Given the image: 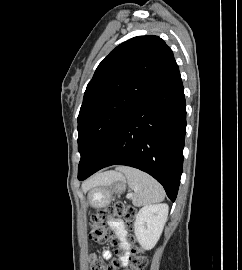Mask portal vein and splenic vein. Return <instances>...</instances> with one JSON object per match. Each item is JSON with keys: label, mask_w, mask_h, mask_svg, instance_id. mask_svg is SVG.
I'll return each instance as SVG.
<instances>
[{"label": "portal vein and splenic vein", "mask_w": 242, "mask_h": 270, "mask_svg": "<svg viewBox=\"0 0 242 270\" xmlns=\"http://www.w3.org/2000/svg\"><path fill=\"white\" fill-rule=\"evenodd\" d=\"M132 196V194H129V195H127V198H130Z\"/></svg>", "instance_id": "obj_1"}]
</instances>
